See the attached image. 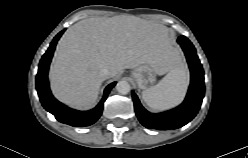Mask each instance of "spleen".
<instances>
[{
    "label": "spleen",
    "instance_id": "3e777b00",
    "mask_svg": "<svg viewBox=\"0 0 248 158\" xmlns=\"http://www.w3.org/2000/svg\"><path fill=\"white\" fill-rule=\"evenodd\" d=\"M189 84V74L182 63H177L155 86L142 92L146 105L154 110H167L181 103Z\"/></svg>",
    "mask_w": 248,
    "mask_h": 158
}]
</instances>
